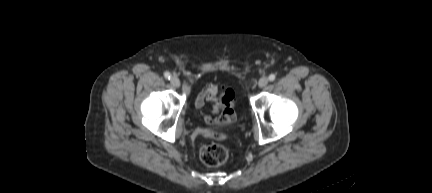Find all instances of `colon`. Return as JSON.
I'll return each instance as SVG.
<instances>
[{"label": "colon", "instance_id": "colon-1", "mask_svg": "<svg viewBox=\"0 0 432 193\" xmlns=\"http://www.w3.org/2000/svg\"><path fill=\"white\" fill-rule=\"evenodd\" d=\"M235 93L231 89L222 92L220 100L227 108L233 109ZM200 156L202 161L208 166H219L229 158L228 145L221 142H212L202 147Z\"/></svg>", "mask_w": 432, "mask_h": 193}]
</instances>
